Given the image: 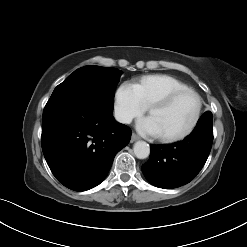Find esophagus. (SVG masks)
<instances>
[{"instance_id": "1", "label": "esophagus", "mask_w": 247, "mask_h": 247, "mask_svg": "<svg viewBox=\"0 0 247 247\" xmlns=\"http://www.w3.org/2000/svg\"><path fill=\"white\" fill-rule=\"evenodd\" d=\"M139 139H140V137L137 134H135V133L132 134V136H131V142L132 143L139 140Z\"/></svg>"}]
</instances>
